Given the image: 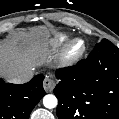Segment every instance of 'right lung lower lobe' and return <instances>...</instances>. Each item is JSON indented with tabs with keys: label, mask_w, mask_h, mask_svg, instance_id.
Here are the masks:
<instances>
[{
	"label": "right lung lower lobe",
	"mask_w": 119,
	"mask_h": 119,
	"mask_svg": "<svg viewBox=\"0 0 119 119\" xmlns=\"http://www.w3.org/2000/svg\"><path fill=\"white\" fill-rule=\"evenodd\" d=\"M44 76L39 74L25 84L0 79V119H29L33 108L45 95Z\"/></svg>",
	"instance_id": "right-lung-lower-lobe-1"
}]
</instances>
